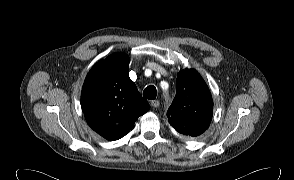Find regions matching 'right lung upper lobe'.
Returning a JSON list of instances; mask_svg holds the SVG:
<instances>
[{
  "label": "right lung upper lobe",
  "mask_w": 294,
  "mask_h": 180,
  "mask_svg": "<svg viewBox=\"0 0 294 180\" xmlns=\"http://www.w3.org/2000/svg\"><path fill=\"white\" fill-rule=\"evenodd\" d=\"M129 57L116 53L93 66L85 79L81 103L88 125L108 140H118L132 128L149 104L128 75Z\"/></svg>",
  "instance_id": "1"
}]
</instances>
